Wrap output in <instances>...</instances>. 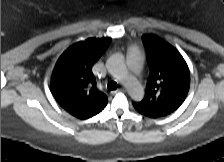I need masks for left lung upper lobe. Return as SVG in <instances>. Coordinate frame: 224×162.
Segmentation results:
<instances>
[{
	"label": "left lung upper lobe",
	"instance_id": "left-lung-upper-lobe-1",
	"mask_svg": "<svg viewBox=\"0 0 224 162\" xmlns=\"http://www.w3.org/2000/svg\"><path fill=\"white\" fill-rule=\"evenodd\" d=\"M143 43L149 57L150 76L144 99L133 102V106L152 118L166 116L185 100L190 72L182 55L169 43L153 35L143 36Z\"/></svg>",
	"mask_w": 224,
	"mask_h": 162
}]
</instances>
